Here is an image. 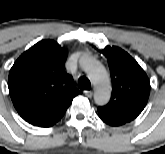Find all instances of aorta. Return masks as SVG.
Returning <instances> with one entry per match:
<instances>
[{"mask_svg": "<svg viewBox=\"0 0 165 154\" xmlns=\"http://www.w3.org/2000/svg\"><path fill=\"white\" fill-rule=\"evenodd\" d=\"M81 68L94 84V101L97 105H105L111 97V84L105 68L94 58L84 56L79 61Z\"/></svg>", "mask_w": 165, "mask_h": 154, "instance_id": "762f6f07", "label": "aorta"}]
</instances>
